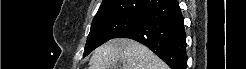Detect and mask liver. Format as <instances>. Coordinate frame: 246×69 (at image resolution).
<instances>
[{
	"instance_id": "obj_1",
	"label": "liver",
	"mask_w": 246,
	"mask_h": 69,
	"mask_svg": "<svg viewBox=\"0 0 246 69\" xmlns=\"http://www.w3.org/2000/svg\"><path fill=\"white\" fill-rule=\"evenodd\" d=\"M120 61L122 69H168L146 46L124 38L112 39L98 47L90 59L89 69H113Z\"/></svg>"
}]
</instances>
